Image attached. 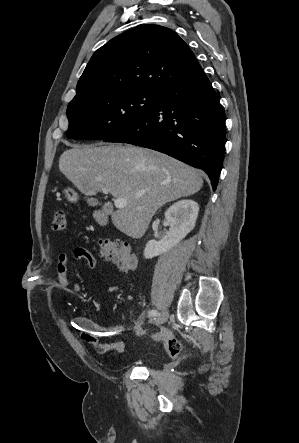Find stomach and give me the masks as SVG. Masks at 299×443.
<instances>
[{"label":"stomach","mask_w":299,"mask_h":443,"mask_svg":"<svg viewBox=\"0 0 299 443\" xmlns=\"http://www.w3.org/2000/svg\"><path fill=\"white\" fill-rule=\"evenodd\" d=\"M65 192V196L66 198L70 201V202H77L78 200V194L75 190H73L72 188H67L64 190Z\"/></svg>","instance_id":"stomach-1"}]
</instances>
